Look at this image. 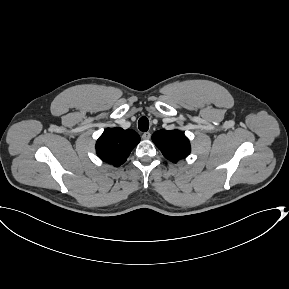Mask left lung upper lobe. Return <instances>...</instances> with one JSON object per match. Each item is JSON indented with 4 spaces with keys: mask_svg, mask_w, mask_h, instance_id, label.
I'll return each mask as SVG.
<instances>
[{
    "mask_svg": "<svg viewBox=\"0 0 289 289\" xmlns=\"http://www.w3.org/2000/svg\"><path fill=\"white\" fill-rule=\"evenodd\" d=\"M152 141L168 160L177 162L190 154V142L179 130H159L152 135Z\"/></svg>",
    "mask_w": 289,
    "mask_h": 289,
    "instance_id": "obj_1",
    "label": "left lung upper lobe"
}]
</instances>
